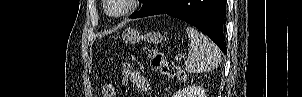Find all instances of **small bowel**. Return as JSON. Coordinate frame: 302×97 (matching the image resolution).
Here are the masks:
<instances>
[{"label":"small bowel","mask_w":302,"mask_h":97,"mask_svg":"<svg viewBox=\"0 0 302 97\" xmlns=\"http://www.w3.org/2000/svg\"><path fill=\"white\" fill-rule=\"evenodd\" d=\"M122 82L124 85L132 83L136 86L137 90L146 93L150 89V83L145 76L139 71L133 69L130 65L124 64L121 69Z\"/></svg>","instance_id":"small-bowel-1"}]
</instances>
